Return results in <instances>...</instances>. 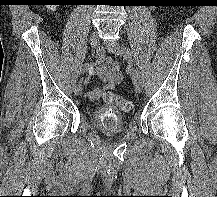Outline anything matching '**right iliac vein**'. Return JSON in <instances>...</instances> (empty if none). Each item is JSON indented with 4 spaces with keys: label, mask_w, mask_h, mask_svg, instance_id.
I'll return each instance as SVG.
<instances>
[{
    "label": "right iliac vein",
    "mask_w": 217,
    "mask_h": 197,
    "mask_svg": "<svg viewBox=\"0 0 217 197\" xmlns=\"http://www.w3.org/2000/svg\"><path fill=\"white\" fill-rule=\"evenodd\" d=\"M90 44H91V47H92V50L95 51L98 46H99V39H98V36H97V33L96 32H93L90 36ZM82 92V85L81 84H78L75 86L74 88V93L76 95H80Z\"/></svg>",
    "instance_id": "1"
}]
</instances>
